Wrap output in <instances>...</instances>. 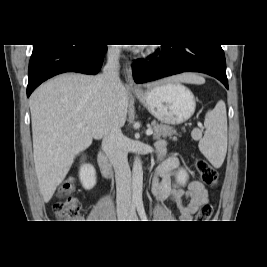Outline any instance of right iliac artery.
Returning a JSON list of instances; mask_svg holds the SVG:
<instances>
[{"mask_svg":"<svg viewBox=\"0 0 267 267\" xmlns=\"http://www.w3.org/2000/svg\"><path fill=\"white\" fill-rule=\"evenodd\" d=\"M135 207H136L135 204L131 205V210H130V215H129V220L128 221H131L133 213L135 212Z\"/></svg>","mask_w":267,"mask_h":267,"instance_id":"82829eb1","label":"right iliac artery"}]
</instances>
